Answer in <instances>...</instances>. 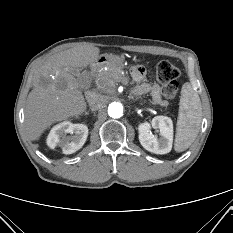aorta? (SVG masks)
Returning a JSON list of instances; mask_svg holds the SVG:
<instances>
[{"mask_svg": "<svg viewBox=\"0 0 233 233\" xmlns=\"http://www.w3.org/2000/svg\"><path fill=\"white\" fill-rule=\"evenodd\" d=\"M108 115L112 118H120L123 115V105L120 102H110L108 104Z\"/></svg>", "mask_w": 233, "mask_h": 233, "instance_id": "obj_1", "label": "aorta"}]
</instances>
